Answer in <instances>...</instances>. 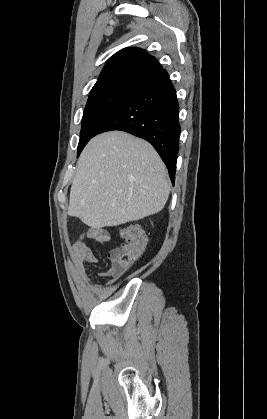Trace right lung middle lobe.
Returning a JSON list of instances; mask_svg holds the SVG:
<instances>
[{
	"label": "right lung middle lobe",
	"instance_id": "dd1d6c3e",
	"mask_svg": "<svg viewBox=\"0 0 267 419\" xmlns=\"http://www.w3.org/2000/svg\"><path fill=\"white\" fill-rule=\"evenodd\" d=\"M132 92L133 90H115L89 96L83 113L77 156L104 119Z\"/></svg>",
	"mask_w": 267,
	"mask_h": 419
}]
</instances>
